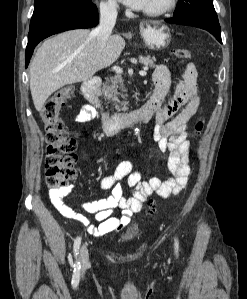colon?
Segmentation results:
<instances>
[{
	"label": "colon",
	"instance_id": "obj_1",
	"mask_svg": "<svg viewBox=\"0 0 247 299\" xmlns=\"http://www.w3.org/2000/svg\"><path fill=\"white\" fill-rule=\"evenodd\" d=\"M174 55L180 60H187L191 57L188 49H176ZM73 95L71 87H65L49 97L41 110L43 129L47 143L46 150V182L53 190L63 188L76 176L74 163L76 161V141L69 137L63 128L59 118V112L64 103ZM204 128V122L199 120L195 125V133L199 134ZM151 213H154L156 206L154 202L149 203Z\"/></svg>",
	"mask_w": 247,
	"mask_h": 299
}]
</instances>
